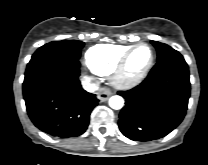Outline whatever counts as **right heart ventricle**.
I'll use <instances>...</instances> for the list:
<instances>
[{"mask_svg": "<svg viewBox=\"0 0 208 165\" xmlns=\"http://www.w3.org/2000/svg\"><path fill=\"white\" fill-rule=\"evenodd\" d=\"M131 47L119 44L94 45L85 54L86 64L95 74L107 76L115 70L121 58Z\"/></svg>", "mask_w": 208, "mask_h": 165, "instance_id": "obj_1", "label": "right heart ventricle"}]
</instances>
